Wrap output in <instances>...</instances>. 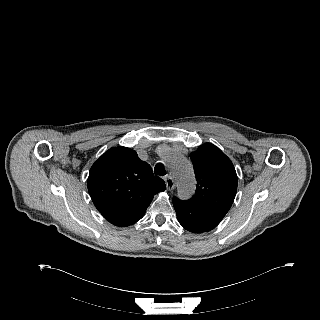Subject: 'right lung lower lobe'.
<instances>
[{
  "label": "right lung lower lobe",
  "instance_id": "obj_1",
  "mask_svg": "<svg viewBox=\"0 0 320 320\" xmlns=\"http://www.w3.org/2000/svg\"><path fill=\"white\" fill-rule=\"evenodd\" d=\"M142 218L139 217V218H136V219H133V220H130V221H126V222H121V223H118L116 224V226H119V227H126V226H129L131 224H134L135 222H137L138 220H140Z\"/></svg>",
  "mask_w": 320,
  "mask_h": 320
}]
</instances>
